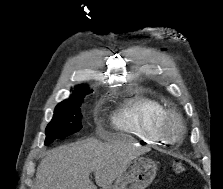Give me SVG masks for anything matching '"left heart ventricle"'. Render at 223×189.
Wrapping results in <instances>:
<instances>
[{
  "label": "left heart ventricle",
  "instance_id": "obj_1",
  "mask_svg": "<svg viewBox=\"0 0 223 189\" xmlns=\"http://www.w3.org/2000/svg\"><path fill=\"white\" fill-rule=\"evenodd\" d=\"M171 131H172V134L173 136H176L179 134V127L177 124H173L172 127H171Z\"/></svg>",
  "mask_w": 223,
  "mask_h": 189
}]
</instances>
